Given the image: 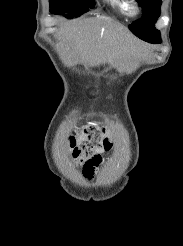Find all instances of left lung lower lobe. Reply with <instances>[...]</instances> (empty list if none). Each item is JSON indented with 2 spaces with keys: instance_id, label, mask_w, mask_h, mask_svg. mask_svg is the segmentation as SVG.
I'll use <instances>...</instances> for the list:
<instances>
[{
  "instance_id": "0a47b994",
  "label": "left lung lower lobe",
  "mask_w": 183,
  "mask_h": 246,
  "mask_svg": "<svg viewBox=\"0 0 183 246\" xmlns=\"http://www.w3.org/2000/svg\"><path fill=\"white\" fill-rule=\"evenodd\" d=\"M150 43H161V40L160 39H154V40L150 41Z\"/></svg>"
}]
</instances>
